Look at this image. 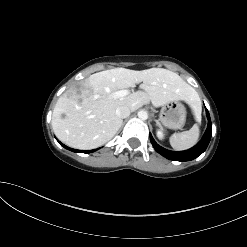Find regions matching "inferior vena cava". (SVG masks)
Masks as SVG:
<instances>
[{"label": "inferior vena cava", "instance_id": "inferior-vena-cava-1", "mask_svg": "<svg viewBox=\"0 0 247 247\" xmlns=\"http://www.w3.org/2000/svg\"><path fill=\"white\" fill-rule=\"evenodd\" d=\"M130 112L131 110L128 106H119L116 109V115L122 119L127 118L130 115Z\"/></svg>", "mask_w": 247, "mask_h": 247}]
</instances>
